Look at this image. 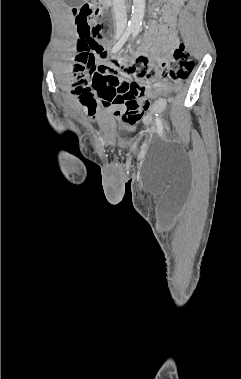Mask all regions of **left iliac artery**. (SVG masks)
Returning a JSON list of instances; mask_svg holds the SVG:
<instances>
[{
	"instance_id": "obj_1",
	"label": "left iliac artery",
	"mask_w": 241,
	"mask_h": 379,
	"mask_svg": "<svg viewBox=\"0 0 241 379\" xmlns=\"http://www.w3.org/2000/svg\"><path fill=\"white\" fill-rule=\"evenodd\" d=\"M138 32H139V28L133 29V31H132L133 38H135L137 36ZM155 122H156V126H157V132L160 136H162L163 135V124H162V121H161L160 117L158 116V114L156 115Z\"/></svg>"
}]
</instances>
